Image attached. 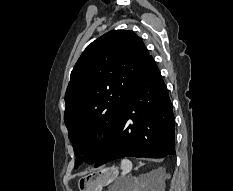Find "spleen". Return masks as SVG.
<instances>
[{
  "instance_id": "obj_1",
  "label": "spleen",
  "mask_w": 233,
  "mask_h": 191,
  "mask_svg": "<svg viewBox=\"0 0 233 191\" xmlns=\"http://www.w3.org/2000/svg\"><path fill=\"white\" fill-rule=\"evenodd\" d=\"M120 169L122 170L121 175L125 176L132 169V163H131V161L128 160V159H123L121 161Z\"/></svg>"
}]
</instances>
